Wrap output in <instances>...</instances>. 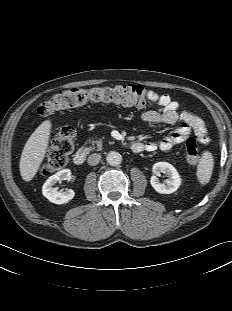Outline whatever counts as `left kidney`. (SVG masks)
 Returning <instances> with one entry per match:
<instances>
[{"label":"left kidney","instance_id":"1","mask_svg":"<svg viewBox=\"0 0 232 311\" xmlns=\"http://www.w3.org/2000/svg\"><path fill=\"white\" fill-rule=\"evenodd\" d=\"M152 171L154 176L151 177L150 183L156 192L160 194H171L175 192L181 185V178L173 165L168 162H157L153 165ZM165 173L169 179L166 184L160 183L156 176ZM156 175V176H155Z\"/></svg>","mask_w":232,"mask_h":311}]
</instances>
